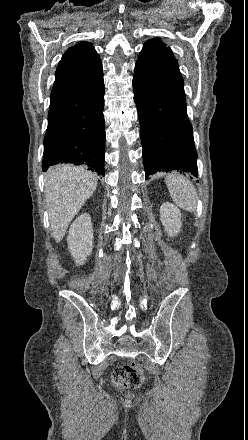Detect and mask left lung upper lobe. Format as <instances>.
Wrapping results in <instances>:
<instances>
[{
    "label": "left lung upper lobe",
    "instance_id": "left-lung-upper-lobe-1",
    "mask_svg": "<svg viewBox=\"0 0 248 440\" xmlns=\"http://www.w3.org/2000/svg\"><path fill=\"white\" fill-rule=\"evenodd\" d=\"M135 74L153 87L172 93L186 102L184 82L171 49L159 38L150 39L139 54Z\"/></svg>",
    "mask_w": 248,
    "mask_h": 440
}]
</instances>
